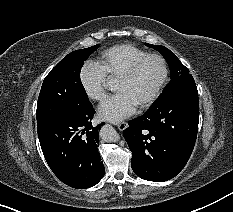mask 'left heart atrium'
I'll use <instances>...</instances> for the list:
<instances>
[{
  "label": "left heart atrium",
  "instance_id": "39dd6f15",
  "mask_svg": "<svg viewBox=\"0 0 233 212\" xmlns=\"http://www.w3.org/2000/svg\"><path fill=\"white\" fill-rule=\"evenodd\" d=\"M136 105L125 93H118L107 98L99 107L98 114L101 119L117 122L132 115Z\"/></svg>",
  "mask_w": 233,
  "mask_h": 212
}]
</instances>
